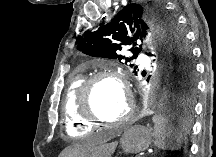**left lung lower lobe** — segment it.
Returning <instances> with one entry per match:
<instances>
[{
	"mask_svg": "<svg viewBox=\"0 0 216 157\" xmlns=\"http://www.w3.org/2000/svg\"><path fill=\"white\" fill-rule=\"evenodd\" d=\"M195 75V68H194ZM162 75V86L164 92L170 101V107H173L170 113L174 129L180 134H186L189 130V119L192 113L193 99L196 92V81L183 89H178L172 79L165 80Z\"/></svg>",
	"mask_w": 216,
	"mask_h": 157,
	"instance_id": "obj_1",
	"label": "left lung lower lobe"
}]
</instances>
